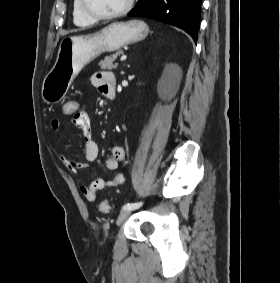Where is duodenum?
Returning a JSON list of instances; mask_svg holds the SVG:
<instances>
[{"mask_svg": "<svg viewBox=\"0 0 280 283\" xmlns=\"http://www.w3.org/2000/svg\"><path fill=\"white\" fill-rule=\"evenodd\" d=\"M108 98L113 100L115 98V84H111L108 94H107Z\"/></svg>", "mask_w": 280, "mask_h": 283, "instance_id": "duodenum-1", "label": "duodenum"}]
</instances>
